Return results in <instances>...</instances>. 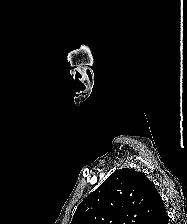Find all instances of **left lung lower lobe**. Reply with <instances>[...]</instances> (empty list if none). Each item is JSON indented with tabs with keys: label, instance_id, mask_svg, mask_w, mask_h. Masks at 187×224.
Segmentation results:
<instances>
[{
	"label": "left lung lower lobe",
	"instance_id": "1",
	"mask_svg": "<svg viewBox=\"0 0 187 224\" xmlns=\"http://www.w3.org/2000/svg\"><path fill=\"white\" fill-rule=\"evenodd\" d=\"M168 220H169V218H168L166 209L164 207V204L162 203L159 212L153 218V220L150 222V224H168Z\"/></svg>",
	"mask_w": 187,
	"mask_h": 224
}]
</instances>
